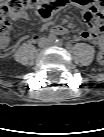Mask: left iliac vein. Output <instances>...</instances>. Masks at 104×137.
I'll return each instance as SVG.
<instances>
[{
	"mask_svg": "<svg viewBox=\"0 0 104 137\" xmlns=\"http://www.w3.org/2000/svg\"><path fill=\"white\" fill-rule=\"evenodd\" d=\"M51 46H53V45H57V43H55V42H52V41H50V43H49Z\"/></svg>",
	"mask_w": 104,
	"mask_h": 137,
	"instance_id": "left-iliac-vein-1",
	"label": "left iliac vein"
}]
</instances>
